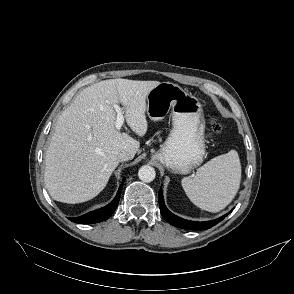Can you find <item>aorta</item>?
Instances as JSON below:
<instances>
[{"instance_id": "obj_1", "label": "aorta", "mask_w": 294, "mask_h": 294, "mask_svg": "<svg viewBox=\"0 0 294 294\" xmlns=\"http://www.w3.org/2000/svg\"><path fill=\"white\" fill-rule=\"evenodd\" d=\"M156 172L155 169L149 165H144L140 167L138 171V177L141 181L149 183L155 179Z\"/></svg>"}]
</instances>
